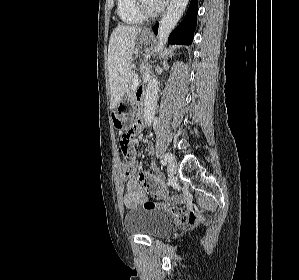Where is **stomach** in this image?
<instances>
[{"mask_svg": "<svg viewBox=\"0 0 299 280\" xmlns=\"http://www.w3.org/2000/svg\"><path fill=\"white\" fill-rule=\"evenodd\" d=\"M140 41L144 44H149L152 41V35H147L142 33L140 36ZM129 100H121L115 109L112 111V121L114 127L118 129L125 128L130 122V113L126 111V106L128 105Z\"/></svg>", "mask_w": 299, "mask_h": 280, "instance_id": "0dacf381", "label": "stomach"}]
</instances>
